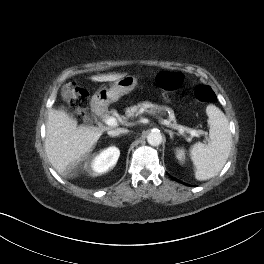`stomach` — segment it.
<instances>
[{
    "instance_id": "stomach-1",
    "label": "stomach",
    "mask_w": 264,
    "mask_h": 264,
    "mask_svg": "<svg viewBox=\"0 0 264 264\" xmlns=\"http://www.w3.org/2000/svg\"><path fill=\"white\" fill-rule=\"evenodd\" d=\"M137 85V78L124 76L114 82L110 88H102L93 95V102L99 107H105L118 101L123 95L133 91Z\"/></svg>"
}]
</instances>
